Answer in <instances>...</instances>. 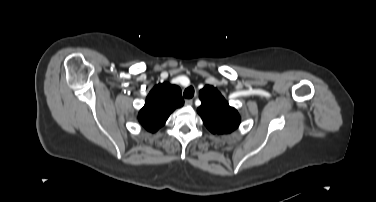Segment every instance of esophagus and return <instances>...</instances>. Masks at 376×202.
<instances>
[{
    "mask_svg": "<svg viewBox=\"0 0 376 202\" xmlns=\"http://www.w3.org/2000/svg\"><path fill=\"white\" fill-rule=\"evenodd\" d=\"M192 104H193V100H191V99H186L185 100V105L192 106Z\"/></svg>",
    "mask_w": 376,
    "mask_h": 202,
    "instance_id": "1",
    "label": "esophagus"
}]
</instances>
